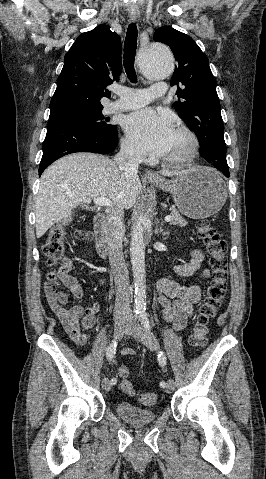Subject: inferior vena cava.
<instances>
[{
	"label": "inferior vena cava",
	"instance_id": "602c4592",
	"mask_svg": "<svg viewBox=\"0 0 266 479\" xmlns=\"http://www.w3.org/2000/svg\"><path fill=\"white\" fill-rule=\"evenodd\" d=\"M121 171L136 175L142 160L140 153L130 143H122L120 152L114 158ZM125 233L124 213L122 210L109 211L105 227V238L109 253V262L114 275L116 301L114 317L125 319L130 315V292L128 270L122 251V238Z\"/></svg>",
	"mask_w": 266,
	"mask_h": 479
}]
</instances>
